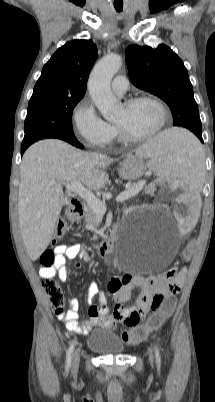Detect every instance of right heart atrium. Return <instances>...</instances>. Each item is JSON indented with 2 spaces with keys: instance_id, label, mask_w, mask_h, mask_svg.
Returning a JSON list of instances; mask_svg holds the SVG:
<instances>
[{
  "instance_id": "obj_1",
  "label": "right heart atrium",
  "mask_w": 215,
  "mask_h": 402,
  "mask_svg": "<svg viewBox=\"0 0 215 402\" xmlns=\"http://www.w3.org/2000/svg\"><path fill=\"white\" fill-rule=\"evenodd\" d=\"M73 122L76 136L89 147H105L115 137V127L100 117L89 98L75 106Z\"/></svg>"
}]
</instances>
